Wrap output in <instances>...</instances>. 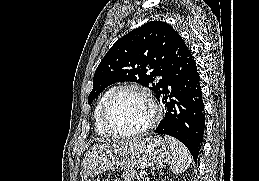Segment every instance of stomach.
<instances>
[{
    "label": "stomach",
    "mask_w": 259,
    "mask_h": 181,
    "mask_svg": "<svg viewBox=\"0 0 259 181\" xmlns=\"http://www.w3.org/2000/svg\"><path fill=\"white\" fill-rule=\"evenodd\" d=\"M171 158L168 143L160 136L92 147L82 162L85 176L94 177L110 170L161 169Z\"/></svg>",
    "instance_id": "obj_1"
}]
</instances>
